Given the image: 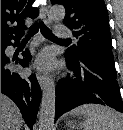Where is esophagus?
I'll return each mask as SVG.
<instances>
[{
    "mask_svg": "<svg viewBox=\"0 0 123 130\" xmlns=\"http://www.w3.org/2000/svg\"><path fill=\"white\" fill-rule=\"evenodd\" d=\"M40 16H41V19L43 20V22L46 25L51 24V18H50L49 10H48L47 6L41 7ZM37 80H38V83H39L40 87L42 89H44L45 86H46V83H47V77L45 75H43V74L37 73Z\"/></svg>",
    "mask_w": 123,
    "mask_h": 130,
    "instance_id": "esophagus-1",
    "label": "esophagus"
}]
</instances>
